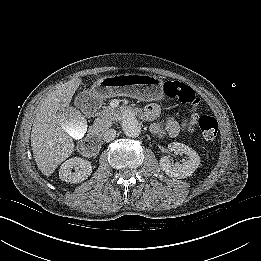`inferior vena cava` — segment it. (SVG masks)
Segmentation results:
<instances>
[{
	"mask_svg": "<svg viewBox=\"0 0 261 261\" xmlns=\"http://www.w3.org/2000/svg\"><path fill=\"white\" fill-rule=\"evenodd\" d=\"M116 137V130L114 129H109L107 130L104 135H103V140L105 142H111L115 139Z\"/></svg>",
	"mask_w": 261,
	"mask_h": 261,
	"instance_id": "602c4592",
	"label": "inferior vena cava"
}]
</instances>
